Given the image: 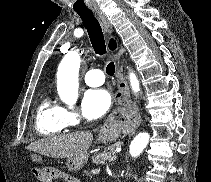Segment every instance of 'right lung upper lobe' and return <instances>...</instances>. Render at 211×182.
Segmentation results:
<instances>
[{"label": "right lung upper lobe", "mask_w": 211, "mask_h": 182, "mask_svg": "<svg viewBox=\"0 0 211 182\" xmlns=\"http://www.w3.org/2000/svg\"><path fill=\"white\" fill-rule=\"evenodd\" d=\"M115 47H116L115 41H114V40H111L110 43H109V48H110L111 50H113V49H115Z\"/></svg>", "instance_id": "obj_1"}]
</instances>
